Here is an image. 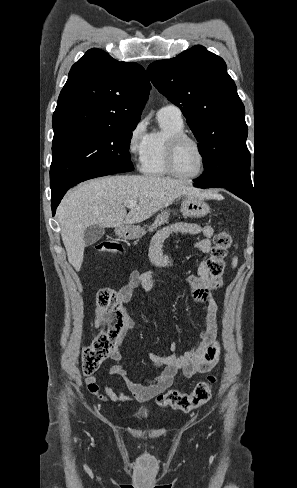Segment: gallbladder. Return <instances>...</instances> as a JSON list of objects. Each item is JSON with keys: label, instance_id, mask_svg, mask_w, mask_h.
Segmentation results:
<instances>
[{"label": "gallbladder", "instance_id": "obj_1", "mask_svg": "<svg viewBox=\"0 0 297 488\" xmlns=\"http://www.w3.org/2000/svg\"><path fill=\"white\" fill-rule=\"evenodd\" d=\"M105 233V228L100 225H91L84 232V243L86 246L98 242Z\"/></svg>", "mask_w": 297, "mask_h": 488}]
</instances>
